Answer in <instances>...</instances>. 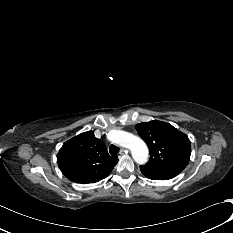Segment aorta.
Instances as JSON below:
<instances>
[{
  "label": "aorta",
  "instance_id": "762f6f07",
  "mask_svg": "<svg viewBox=\"0 0 233 233\" xmlns=\"http://www.w3.org/2000/svg\"><path fill=\"white\" fill-rule=\"evenodd\" d=\"M112 142L130 149L132 157L137 164H145L148 160L149 151L145 142L125 131H113Z\"/></svg>",
  "mask_w": 233,
  "mask_h": 233
}]
</instances>
